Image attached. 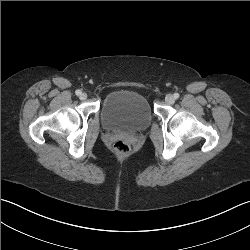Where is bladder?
Instances as JSON below:
<instances>
[{"label":"bladder","mask_w":250,"mask_h":250,"mask_svg":"<svg viewBox=\"0 0 250 250\" xmlns=\"http://www.w3.org/2000/svg\"><path fill=\"white\" fill-rule=\"evenodd\" d=\"M100 114L103 125L117 132H140L147 129L152 121L147 99L131 90L109 93L103 100Z\"/></svg>","instance_id":"obj_1"}]
</instances>
